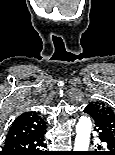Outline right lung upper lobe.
I'll return each instance as SVG.
<instances>
[{"label":"right lung upper lobe","instance_id":"obj_1","mask_svg":"<svg viewBox=\"0 0 115 155\" xmlns=\"http://www.w3.org/2000/svg\"><path fill=\"white\" fill-rule=\"evenodd\" d=\"M45 130L46 122L36 112H25L13 122L5 143L21 140Z\"/></svg>","mask_w":115,"mask_h":155}]
</instances>
